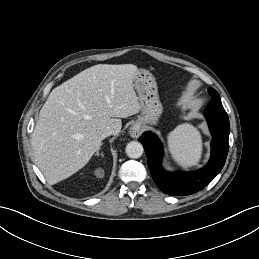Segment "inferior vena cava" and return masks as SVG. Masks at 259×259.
<instances>
[{"label": "inferior vena cava", "mask_w": 259, "mask_h": 259, "mask_svg": "<svg viewBox=\"0 0 259 259\" xmlns=\"http://www.w3.org/2000/svg\"><path fill=\"white\" fill-rule=\"evenodd\" d=\"M114 133H115L114 129L107 128L106 130L103 131V133L101 134V137H102V139H104V138H106V137H108V136H110Z\"/></svg>", "instance_id": "inferior-vena-cava-1"}]
</instances>
